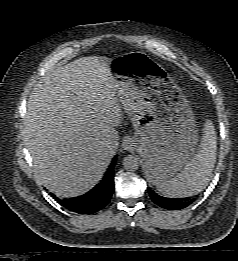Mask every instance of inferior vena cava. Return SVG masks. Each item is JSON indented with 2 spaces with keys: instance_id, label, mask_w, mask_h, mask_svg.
<instances>
[{
  "instance_id": "obj_1",
  "label": "inferior vena cava",
  "mask_w": 238,
  "mask_h": 261,
  "mask_svg": "<svg viewBox=\"0 0 238 261\" xmlns=\"http://www.w3.org/2000/svg\"><path fill=\"white\" fill-rule=\"evenodd\" d=\"M106 150L110 153H114V146H112L110 143L106 144Z\"/></svg>"
}]
</instances>
